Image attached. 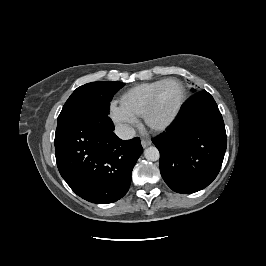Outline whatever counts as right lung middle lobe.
<instances>
[{"label": "right lung middle lobe", "instance_id": "1", "mask_svg": "<svg viewBox=\"0 0 266 266\" xmlns=\"http://www.w3.org/2000/svg\"><path fill=\"white\" fill-rule=\"evenodd\" d=\"M122 82H92L78 87L68 98L57 120L56 132L63 129L82 112L97 110L108 114L113 95L122 87Z\"/></svg>", "mask_w": 266, "mask_h": 266}]
</instances>
